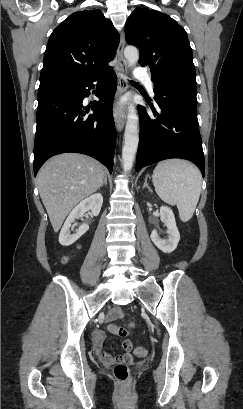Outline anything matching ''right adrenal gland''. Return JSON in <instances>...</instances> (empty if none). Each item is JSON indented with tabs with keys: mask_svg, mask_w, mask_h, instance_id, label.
<instances>
[{
	"mask_svg": "<svg viewBox=\"0 0 243 409\" xmlns=\"http://www.w3.org/2000/svg\"><path fill=\"white\" fill-rule=\"evenodd\" d=\"M103 185H107V175L104 176V180L101 184V187H103Z\"/></svg>",
	"mask_w": 243,
	"mask_h": 409,
	"instance_id": "obj_1",
	"label": "right adrenal gland"
}]
</instances>
